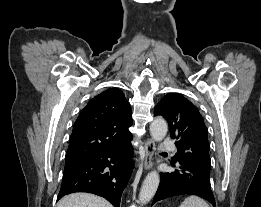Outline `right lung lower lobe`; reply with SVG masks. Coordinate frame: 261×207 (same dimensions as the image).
Wrapping results in <instances>:
<instances>
[{"mask_svg":"<svg viewBox=\"0 0 261 207\" xmlns=\"http://www.w3.org/2000/svg\"><path fill=\"white\" fill-rule=\"evenodd\" d=\"M132 152L130 141L121 147L66 163L57 200L73 192H89L120 207L121 195L130 177Z\"/></svg>","mask_w":261,"mask_h":207,"instance_id":"1","label":"right lung lower lobe"}]
</instances>
